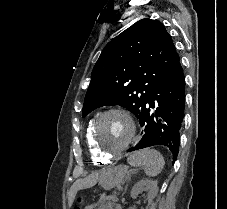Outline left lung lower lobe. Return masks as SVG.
<instances>
[{
    "instance_id": "left-lung-lower-lobe-1",
    "label": "left lung lower lobe",
    "mask_w": 227,
    "mask_h": 209,
    "mask_svg": "<svg viewBox=\"0 0 227 209\" xmlns=\"http://www.w3.org/2000/svg\"><path fill=\"white\" fill-rule=\"evenodd\" d=\"M154 108L155 111L150 109ZM185 79L179 61L165 75L144 110L139 116V123L144 126L145 134L140 142L130 151L154 145L169 148L176 160L179 151V130L184 118Z\"/></svg>"
}]
</instances>
